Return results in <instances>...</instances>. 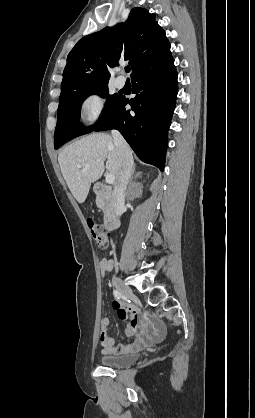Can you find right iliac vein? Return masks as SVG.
Returning a JSON list of instances; mask_svg holds the SVG:
<instances>
[{
    "mask_svg": "<svg viewBox=\"0 0 255 418\" xmlns=\"http://www.w3.org/2000/svg\"><path fill=\"white\" fill-rule=\"evenodd\" d=\"M113 283L123 296L127 298H131L133 296L132 289L128 285H126L120 278L114 277Z\"/></svg>",
    "mask_w": 255,
    "mask_h": 418,
    "instance_id": "obj_1",
    "label": "right iliac vein"
}]
</instances>
